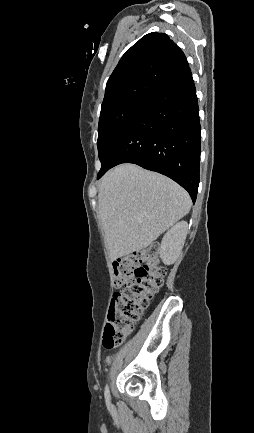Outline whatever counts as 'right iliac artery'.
Instances as JSON below:
<instances>
[{
  "mask_svg": "<svg viewBox=\"0 0 254 433\" xmlns=\"http://www.w3.org/2000/svg\"><path fill=\"white\" fill-rule=\"evenodd\" d=\"M105 399H106V402L109 404L111 398H110V391H109L108 385H106V387H105Z\"/></svg>",
  "mask_w": 254,
  "mask_h": 433,
  "instance_id": "right-iliac-artery-1",
  "label": "right iliac artery"
}]
</instances>
